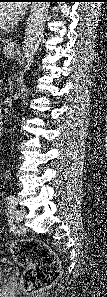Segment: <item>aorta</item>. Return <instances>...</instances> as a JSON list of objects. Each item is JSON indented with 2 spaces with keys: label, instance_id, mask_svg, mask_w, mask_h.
I'll use <instances>...</instances> for the list:
<instances>
[{
  "label": "aorta",
  "instance_id": "aorta-1",
  "mask_svg": "<svg viewBox=\"0 0 107 297\" xmlns=\"http://www.w3.org/2000/svg\"><path fill=\"white\" fill-rule=\"evenodd\" d=\"M49 6V2H34L31 5L23 40L22 67L25 72L30 70L42 40Z\"/></svg>",
  "mask_w": 107,
  "mask_h": 297
}]
</instances>
